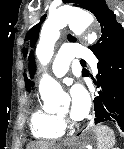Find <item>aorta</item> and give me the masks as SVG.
Instances as JSON below:
<instances>
[{"label":"aorta","instance_id":"762f6f07","mask_svg":"<svg viewBox=\"0 0 124 149\" xmlns=\"http://www.w3.org/2000/svg\"><path fill=\"white\" fill-rule=\"evenodd\" d=\"M93 16L80 9H58L49 14L42 26L40 41L36 54L42 64H47L53 55L54 44L59 38L60 30L67 25L75 33H82L93 24ZM88 42L97 39L95 32L88 34ZM39 92L46 106L58 108L63 91L59 84L48 76L40 82Z\"/></svg>","mask_w":124,"mask_h":149}]
</instances>
